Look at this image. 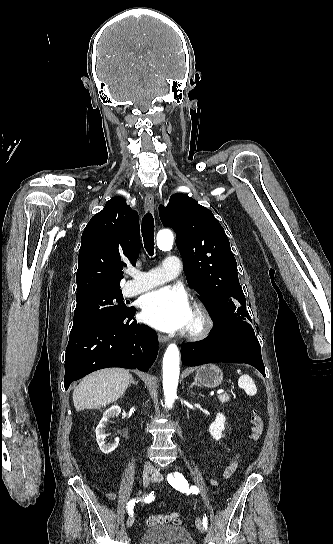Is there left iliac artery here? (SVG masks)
Segmentation results:
<instances>
[{
	"label": "left iliac artery",
	"instance_id": "left-iliac-artery-1",
	"mask_svg": "<svg viewBox=\"0 0 333 544\" xmlns=\"http://www.w3.org/2000/svg\"><path fill=\"white\" fill-rule=\"evenodd\" d=\"M167 481L172 487L179 490L180 492L193 493V494L199 493V489L196 486L189 487L188 481L179 472H175L174 474L172 473L168 474ZM207 526H208V519H207V516L205 515L203 517V527L205 530L207 529Z\"/></svg>",
	"mask_w": 333,
	"mask_h": 544
}]
</instances>
